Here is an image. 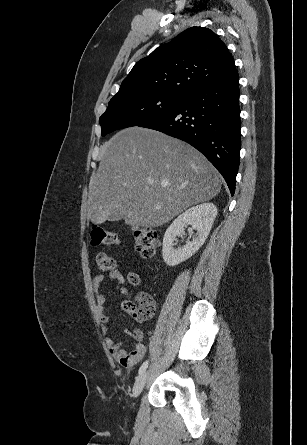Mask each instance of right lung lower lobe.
Listing matches in <instances>:
<instances>
[{
	"label": "right lung lower lobe",
	"mask_w": 307,
	"mask_h": 445,
	"mask_svg": "<svg viewBox=\"0 0 307 445\" xmlns=\"http://www.w3.org/2000/svg\"><path fill=\"white\" fill-rule=\"evenodd\" d=\"M239 77L236 68L186 95L172 110L138 126L188 142L216 167L234 195L240 153Z\"/></svg>",
	"instance_id": "1"
}]
</instances>
